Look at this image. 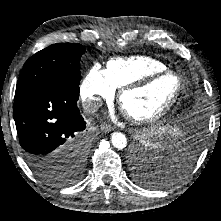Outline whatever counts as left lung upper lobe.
<instances>
[{
    "instance_id": "1",
    "label": "left lung upper lobe",
    "mask_w": 221,
    "mask_h": 221,
    "mask_svg": "<svg viewBox=\"0 0 221 221\" xmlns=\"http://www.w3.org/2000/svg\"><path fill=\"white\" fill-rule=\"evenodd\" d=\"M150 175V170L143 164H139L135 169V178L143 185H147V178Z\"/></svg>"
}]
</instances>
